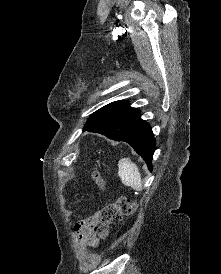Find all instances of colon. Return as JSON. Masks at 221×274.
Masks as SVG:
<instances>
[{
    "instance_id": "obj_1",
    "label": "colon",
    "mask_w": 221,
    "mask_h": 274,
    "mask_svg": "<svg viewBox=\"0 0 221 274\" xmlns=\"http://www.w3.org/2000/svg\"><path fill=\"white\" fill-rule=\"evenodd\" d=\"M98 189H104V182L99 172L92 173ZM136 210V203L126 197H119L113 203L105 206L100 213V222L98 224V234L102 239H107L112 230L115 220H121L124 217L130 216Z\"/></svg>"
}]
</instances>
